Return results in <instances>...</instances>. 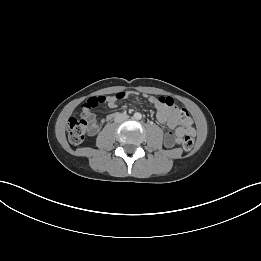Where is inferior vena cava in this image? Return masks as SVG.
Returning a JSON list of instances; mask_svg holds the SVG:
<instances>
[{
	"mask_svg": "<svg viewBox=\"0 0 261 261\" xmlns=\"http://www.w3.org/2000/svg\"><path fill=\"white\" fill-rule=\"evenodd\" d=\"M127 118H128L127 115H121V116H119L116 120H117V121H122V120H125V119H127Z\"/></svg>",
	"mask_w": 261,
	"mask_h": 261,
	"instance_id": "602c4592",
	"label": "inferior vena cava"
}]
</instances>
